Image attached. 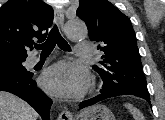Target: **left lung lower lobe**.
Here are the masks:
<instances>
[{"label": "left lung lower lobe", "mask_w": 165, "mask_h": 120, "mask_svg": "<svg viewBox=\"0 0 165 120\" xmlns=\"http://www.w3.org/2000/svg\"><path fill=\"white\" fill-rule=\"evenodd\" d=\"M119 95H127V94H107V93H101L100 95H97L96 97H93L91 99H88V100H85V101L81 102L79 104V107L81 109H83V108H85L87 106L93 105V104H95V103H97L99 101H102L104 99H107V98H110V97L119 96ZM135 96H137V95H135ZM138 97H141V98L147 100L149 102V104H151L149 97H143V96H138Z\"/></svg>", "instance_id": "left-lung-lower-lobe-1"}]
</instances>
